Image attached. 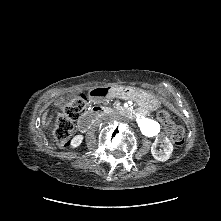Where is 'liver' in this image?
I'll return each mask as SVG.
<instances>
[{
	"label": "liver",
	"instance_id": "1",
	"mask_svg": "<svg viewBox=\"0 0 221 221\" xmlns=\"http://www.w3.org/2000/svg\"><path fill=\"white\" fill-rule=\"evenodd\" d=\"M47 113H48V111L44 112V114L42 116V127L43 128H45V125H46Z\"/></svg>",
	"mask_w": 221,
	"mask_h": 221
}]
</instances>
